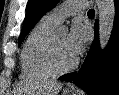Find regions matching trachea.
Segmentation results:
<instances>
[{"instance_id":"obj_1","label":"trachea","mask_w":119,"mask_h":95,"mask_svg":"<svg viewBox=\"0 0 119 95\" xmlns=\"http://www.w3.org/2000/svg\"><path fill=\"white\" fill-rule=\"evenodd\" d=\"M88 15H89V16H94V15H95L94 9H90V10L88 11Z\"/></svg>"}]
</instances>
